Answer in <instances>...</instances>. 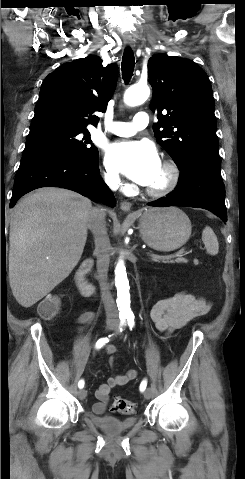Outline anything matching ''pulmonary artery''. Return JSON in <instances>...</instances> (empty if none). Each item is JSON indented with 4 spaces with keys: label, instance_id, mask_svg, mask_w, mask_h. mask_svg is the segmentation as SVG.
Segmentation results:
<instances>
[{
    "label": "pulmonary artery",
    "instance_id": "obj_1",
    "mask_svg": "<svg viewBox=\"0 0 245 479\" xmlns=\"http://www.w3.org/2000/svg\"><path fill=\"white\" fill-rule=\"evenodd\" d=\"M149 124V116L146 112L136 113L131 122H114L110 131L118 136H131L137 130L145 128Z\"/></svg>",
    "mask_w": 245,
    "mask_h": 479
}]
</instances>
